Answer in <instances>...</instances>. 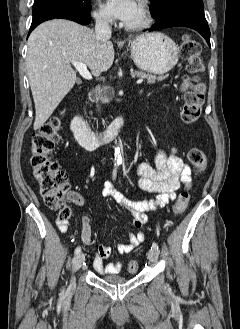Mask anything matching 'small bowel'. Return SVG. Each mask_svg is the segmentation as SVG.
<instances>
[{
    "label": "small bowel",
    "instance_id": "obj_1",
    "mask_svg": "<svg viewBox=\"0 0 240 329\" xmlns=\"http://www.w3.org/2000/svg\"><path fill=\"white\" fill-rule=\"evenodd\" d=\"M135 174L138 187L156 195L154 201H133L116 192L110 182L106 183L103 194L131 213L133 225L137 229L142 228L147 222V212L174 201L181 185L191 180L190 168L182 158L174 152L167 154L162 149L156 151L154 165L140 163L135 167ZM56 225L60 232H67L68 223L66 221L58 220ZM81 239L85 244H90L92 240L90 219L87 215L82 218ZM129 239V243L116 246L117 252L121 254L132 252L145 240V234L142 231L130 232ZM111 252V248L105 245H100L95 251L93 268L98 274H116L121 271L123 267L121 260L107 265L103 263L102 260L110 257Z\"/></svg>",
    "mask_w": 240,
    "mask_h": 329
}]
</instances>
